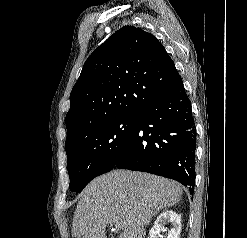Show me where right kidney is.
Masks as SVG:
<instances>
[{
	"label": "right kidney",
	"instance_id": "obj_1",
	"mask_svg": "<svg viewBox=\"0 0 247 238\" xmlns=\"http://www.w3.org/2000/svg\"><path fill=\"white\" fill-rule=\"evenodd\" d=\"M167 223H171L172 225L167 238H179L181 231V215L172 210H167L157 217L154 226L150 230L149 238H157L156 236L165 229L164 225Z\"/></svg>",
	"mask_w": 247,
	"mask_h": 238
}]
</instances>
